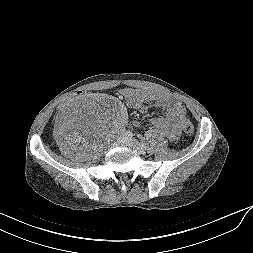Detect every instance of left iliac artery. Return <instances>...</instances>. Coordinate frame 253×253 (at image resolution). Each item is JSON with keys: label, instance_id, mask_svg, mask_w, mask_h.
<instances>
[{"label": "left iliac artery", "instance_id": "obj_1", "mask_svg": "<svg viewBox=\"0 0 253 253\" xmlns=\"http://www.w3.org/2000/svg\"><path fill=\"white\" fill-rule=\"evenodd\" d=\"M148 144L146 142H141V147L142 148H147Z\"/></svg>", "mask_w": 253, "mask_h": 253}]
</instances>
